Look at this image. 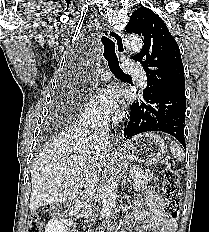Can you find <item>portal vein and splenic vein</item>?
<instances>
[{"label":"portal vein and splenic vein","mask_w":209,"mask_h":232,"mask_svg":"<svg viewBox=\"0 0 209 232\" xmlns=\"http://www.w3.org/2000/svg\"><path fill=\"white\" fill-rule=\"evenodd\" d=\"M136 174L134 170H130V177H133Z\"/></svg>","instance_id":"obj_1"}]
</instances>
